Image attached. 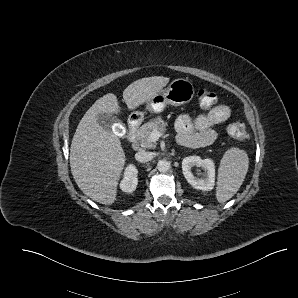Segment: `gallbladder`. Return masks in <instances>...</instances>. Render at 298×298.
<instances>
[{"label": "gallbladder", "instance_id": "gallbladder-1", "mask_svg": "<svg viewBox=\"0 0 298 298\" xmlns=\"http://www.w3.org/2000/svg\"><path fill=\"white\" fill-rule=\"evenodd\" d=\"M97 122L104 129L111 131L113 126L119 123L120 120L112 113H99L97 115Z\"/></svg>", "mask_w": 298, "mask_h": 298}]
</instances>
